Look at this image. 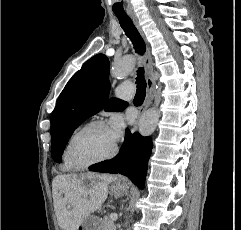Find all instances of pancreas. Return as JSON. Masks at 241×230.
<instances>
[{"instance_id": "1", "label": "pancreas", "mask_w": 241, "mask_h": 230, "mask_svg": "<svg viewBox=\"0 0 241 230\" xmlns=\"http://www.w3.org/2000/svg\"><path fill=\"white\" fill-rule=\"evenodd\" d=\"M100 230H116V226L109 217H105L100 224Z\"/></svg>"}]
</instances>
